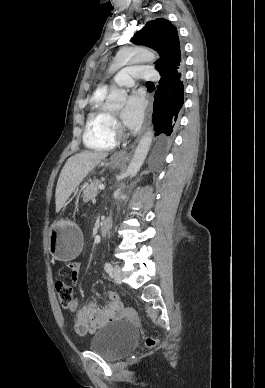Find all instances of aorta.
I'll return each mask as SVG.
<instances>
[{
	"label": "aorta",
	"mask_w": 265,
	"mask_h": 388,
	"mask_svg": "<svg viewBox=\"0 0 265 388\" xmlns=\"http://www.w3.org/2000/svg\"><path fill=\"white\" fill-rule=\"evenodd\" d=\"M157 59V56L154 52L144 49V48H135V49H126L121 50L117 53L114 58V61L110 67L111 70H118L119 68L125 66L129 63H138V62H154ZM127 97L125 90L121 89H112L107 98L108 107H120L123 105ZM154 131L152 128H149L145 134L142 136L139 144L134 152L132 160L128 166V175L130 177L135 176L143 165L145 158L150 149L152 140H153Z\"/></svg>",
	"instance_id": "762f6f07"
}]
</instances>
